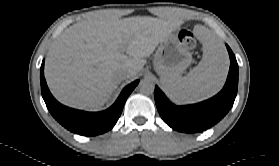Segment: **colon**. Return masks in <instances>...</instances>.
<instances>
[{"instance_id": "5ec220e1", "label": "colon", "mask_w": 279, "mask_h": 166, "mask_svg": "<svg viewBox=\"0 0 279 166\" xmlns=\"http://www.w3.org/2000/svg\"><path fill=\"white\" fill-rule=\"evenodd\" d=\"M180 44L187 50H192L196 46V37L191 27L183 28L178 33Z\"/></svg>"}]
</instances>
